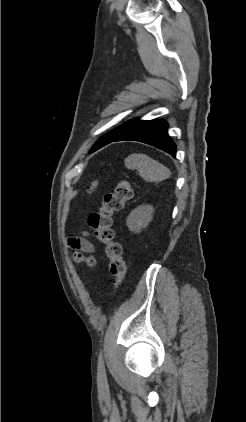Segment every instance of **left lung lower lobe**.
Instances as JSON below:
<instances>
[{
    "label": "left lung lower lobe",
    "instance_id": "0a47b994",
    "mask_svg": "<svg viewBox=\"0 0 246 422\" xmlns=\"http://www.w3.org/2000/svg\"><path fill=\"white\" fill-rule=\"evenodd\" d=\"M167 128L168 123L163 119L137 121L116 139L105 142L98 149L111 142L132 140L152 145L176 157V145L170 139Z\"/></svg>",
    "mask_w": 246,
    "mask_h": 422
}]
</instances>
